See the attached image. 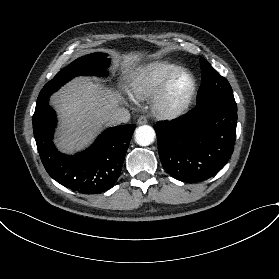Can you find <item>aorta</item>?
Instances as JSON below:
<instances>
[{
    "mask_svg": "<svg viewBox=\"0 0 279 279\" xmlns=\"http://www.w3.org/2000/svg\"><path fill=\"white\" fill-rule=\"evenodd\" d=\"M155 131L151 126L143 125L136 129L135 131V141L140 146H148L155 139Z\"/></svg>",
    "mask_w": 279,
    "mask_h": 279,
    "instance_id": "762f6f07",
    "label": "aorta"
}]
</instances>
